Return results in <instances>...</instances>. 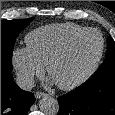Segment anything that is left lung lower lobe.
Listing matches in <instances>:
<instances>
[{"instance_id": "0a47b994", "label": "left lung lower lobe", "mask_w": 115, "mask_h": 115, "mask_svg": "<svg viewBox=\"0 0 115 115\" xmlns=\"http://www.w3.org/2000/svg\"><path fill=\"white\" fill-rule=\"evenodd\" d=\"M58 102V115H115V75L87 80Z\"/></svg>"}]
</instances>
